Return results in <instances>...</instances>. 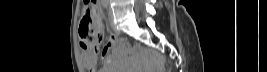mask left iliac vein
Here are the masks:
<instances>
[{
	"label": "left iliac vein",
	"mask_w": 267,
	"mask_h": 72,
	"mask_svg": "<svg viewBox=\"0 0 267 72\" xmlns=\"http://www.w3.org/2000/svg\"><path fill=\"white\" fill-rule=\"evenodd\" d=\"M108 18H109V22H110V25H111L112 29L114 31H117V29H116V27H115V25L113 23V13H112V10L110 8H109V11H108Z\"/></svg>",
	"instance_id": "obj_1"
}]
</instances>
